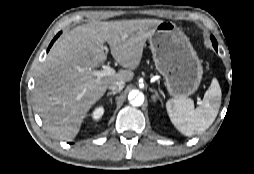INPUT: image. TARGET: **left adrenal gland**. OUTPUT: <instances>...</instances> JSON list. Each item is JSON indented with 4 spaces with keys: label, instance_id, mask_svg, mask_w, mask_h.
<instances>
[{
    "label": "left adrenal gland",
    "instance_id": "left-adrenal-gland-1",
    "mask_svg": "<svg viewBox=\"0 0 254 174\" xmlns=\"http://www.w3.org/2000/svg\"><path fill=\"white\" fill-rule=\"evenodd\" d=\"M152 92H154V95L152 96V100L155 102L157 99H159L162 103V99L160 98L158 92L156 90H151Z\"/></svg>",
    "mask_w": 254,
    "mask_h": 174
}]
</instances>
